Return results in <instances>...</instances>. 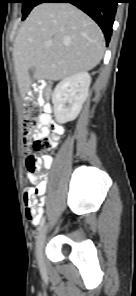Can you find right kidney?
Segmentation results:
<instances>
[{
  "label": "right kidney",
  "instance_id": "ca27d5eb",
  "mask_svg": "<svg viewBox=\"0 0 136 296\" xmlns=\"http://www.w3.org/2000/svg\"><path fill=\"white\" fill-rule=\"evenodd\" d=\"M90 83V74L79 72L64 78L56 85L52 103L57 122L66 123L78 116L88 96Z\"/></svg>",
  "mask_w": 136,
  "mask_h": 296
}]
</instances>
